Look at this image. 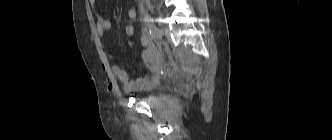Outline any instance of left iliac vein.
Returning a JSON list of instances; mask_svg holds the SVG:
<instances>
[{"mask_svg": "<svg viewBox=\"0 0 332 140\" xmlns=\"http://www.w3.org/2000/svg\"><path fill=\"white\" fill-rule=\"evenodd\" d=\"M153 35L159 39L162 37V30L160 28H158L157 26H154V32Z\"/></svg>", "mask_w": 332, "mask_h": 140, "instance_id": "4c4485c4", "label": "left iliac vein"}]
</instances>
